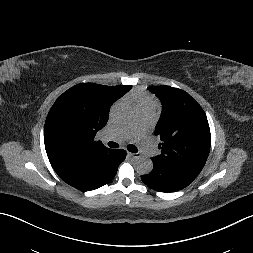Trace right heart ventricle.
Here are the masks:
<instances>
[{"label":"right heart ventricle","mask_w":253,"mask_h":253,"mask_svg":"<svg viewBox=\"0 0 253 253\" xmlns=\"http://www.w3.org/2000/svg\"><path fill=\"white\" fill-rule=\"evenodd\" d=\"M155 106H156L155 101L147 95H140L136 99V107L137 108H153V109H155Z\"/></svg>","instance_id":"e07e8e85"}]
</instances>
